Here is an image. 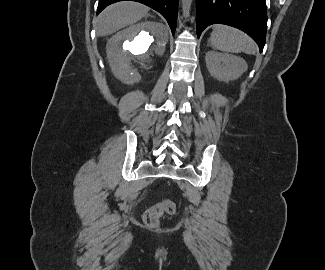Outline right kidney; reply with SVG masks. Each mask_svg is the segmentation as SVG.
Instances as JSON below:
<instances>
[{"label":"right kidney","mask_w":325,"mask_h":270,"mask_svg":"<svg viewBox=\"0 0 325 270\" xmlns=\"http://www.w3.org/2000/svg\"><path fill=\"white\" fill-rule=\"evenodd\" d=\"M167 41L166 28L157 22L145 21L116 33L106 45L114 76L125 84L140 82L163 55Z\"/></svg>","instance_id":"right-kidney-1"}]
</instances>
